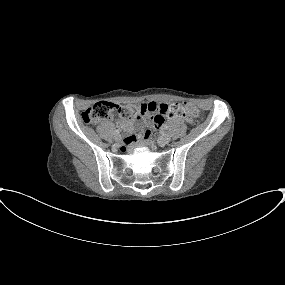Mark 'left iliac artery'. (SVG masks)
Segmentation results:
<instances>
[{"instance_id": "left-iliac-artery-1", "label": "left iliac artery", "mask_w": 285, "mask_h": 285, "mask_svg": "<svg viewBox=\"0 0 285 285\" xmlns=\"http://www.w3.org/2000/svg\"><path fill=\"white\" fill-rule=\"evenodd\" d=\"M164 129H166V130H167V129H168V126H167V125H165V126H164Z\"/></svg>"}]
</instances>
